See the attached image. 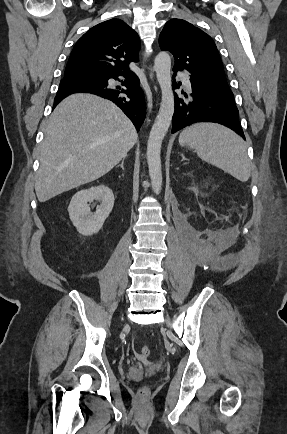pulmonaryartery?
I'll return each mask as SVG.
<instances>
[{
    "label": "pulmonary artery",
    "mask_w": 287,
    "mask_h": 434,
    "mask_svg": "<svg viewBox=\"0 0 287 434\" xmlns=\"http://www.w3.org/2000/svg\"><path fill=\"white\" fill-rule=\"evenodd\" d=\"M183 83L187 89H191V83L187 74L180 73Z\"/></svg>",
    "instance_id": "obj_1"
}]
</instances>
